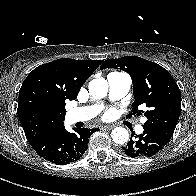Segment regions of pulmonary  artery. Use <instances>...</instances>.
Wrapping results in <instances>:
<instances>
[{
    "label": "pulmonary artery",
    "mask_w": 196,
    "mask_h": 196,
    "mask_svg": "<svg viewBox=\"0 0 196 196\" xmlns=\"http://www.w3.org/2000/svg\"><path fill=\"white\" fill-rule=\"evenodd\" d=\"M109 87V98L111 100H118L124 97L131 87V77L123 72H111L107 76ZM102 110V105H89L83 107L73 108L68 112V119L70 122H83L95 117ZM136 132L142 133L143 126H136Z\"/></svg>",
    "instance_id": "e3ab8cb5"
}]
</instances>
